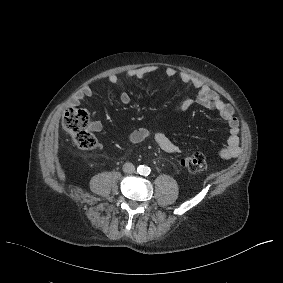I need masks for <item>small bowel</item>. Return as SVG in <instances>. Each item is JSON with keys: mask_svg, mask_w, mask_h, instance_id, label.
Masks as SVG:
<instances>
[{"mask_svg": "<svg viewBox=\"0 0 283 283\" xmlns=\"http://www.w3.org/2000/svg\"><path fill=\"white\" fill-rule=\"evenodd\" d=\"M157 67L154 65L144 66L140 68H134L127 72L126 76L128 78H144L146 75L156 71ZM165 75L172 81H180L185 85L194 88L197 91L195 98H189L183 101L182 109L188 110L195 104L201 105L210 110L216 111L222 117V119L227 123L229 128V137L227 143L219 151V155L223 159H230L236 157L240 154V129L239 120L235 115V110L233 106L225 102L222 97L209 86H207L200 78L193 76L187 72H178L174 68H168L165 71ZM119 78L117 75H110L105 85H114L118 82ZM94 89L90 85H86L81 90H79L70 101L72 106H79L83 100L93 95ZM131 101L130 95L126 92L121 93L120 102L122 104H129ZM90 130L93 132H99L102 129V125L99 121H93L90 124ZM150 135L153 136L154 141L159 146L160 149L167 153H181L183 148L174 143L167 135L161 131H156L151 133L147 128H138L132 131L128 140L132 144H138Z\"/></svg>", "mask_w": 283, "mask_h": 283, "instance_id": "1", "label": "small bowel"}]
</instances>
